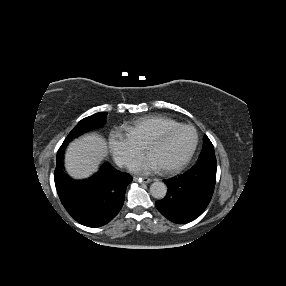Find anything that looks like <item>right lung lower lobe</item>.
<instances>
[{
	"mask_svg": "<svg viewBox=\"0 0 286 286\" xmlns=\"http://www.w3.org/2000/svg\"><path fill=\"white\" fill-rule=\"evenodd\" d=\"M65 147L57 153L54 179L59 198L68 213L80 224L100 227L112 220L124 203L126 187L132 176L104 163L92 177L73 180L62 169Z\"/></svg>",
	"mask_w": 286,
	"mask_h": 286,
	"instance_id": "1",
	"label": "right lung lower lobe"
}]
</instances>
